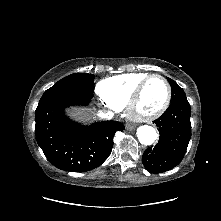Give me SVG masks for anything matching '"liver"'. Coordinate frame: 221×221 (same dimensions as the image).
<instances>
[{"mask_svg": "<svg viewBox=\"0 0 221 221\" xmlns=\"http://www.w3.org/2000/svg\"><path fill=\"white\" fill-rule=\"evenodd\" d=\"M82 112H83V111L77 110V111H75V112L73 113V116H74V117H79V115H81Z\"/></svg>", "mask_w": 221, "mask_h": 221, "instance_id": "1", "label": "liver"}]
</instances>
